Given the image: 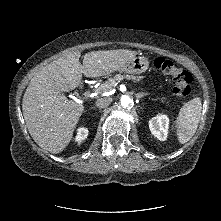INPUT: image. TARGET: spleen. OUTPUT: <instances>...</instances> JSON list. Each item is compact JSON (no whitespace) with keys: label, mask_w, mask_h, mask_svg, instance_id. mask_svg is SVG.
I'll list each match as a JSON object with an SVG mask.
<instances>
[{"label":"spleen","mask_w":221,"mask_h":221,"mask_svg":"<svg viewBox=\"0 0 221 221\" xmlns=\"http://www.w3.org/2000/svg\"><path fill=\"white\" fill-rule=\"evenodd\" d=\"M202 111V103L199 97L184 103L180 108L175 121V130L179 143L188 142L195 134Z\"/></svg>","instance_id":"obj_1"}]
</instances>
